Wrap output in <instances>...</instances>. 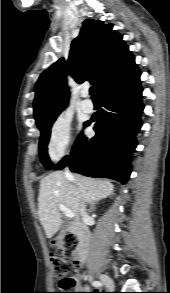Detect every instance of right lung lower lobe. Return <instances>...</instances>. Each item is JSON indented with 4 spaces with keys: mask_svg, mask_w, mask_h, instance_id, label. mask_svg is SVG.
<instances>
[{
    "mask_svg": "<svg viewBox=\"0 0 170 293\" xmlns=\"http://www.w3.org/2000/svg\"><path fill=\"white\" fill-rule=\"evenodd\" d=\"M140 74L136 66L100 88L98 100L104 109L84 124L95 122L96 135L90 139L79 135L70 157L61 160L55 170L70 164L75 173L127 182L131 156L137 145L135 135L142 125L140 114L144 109Z\"/></svg>",
    "mask_w": 170,
    "mask_h": 293,
    "instance_id": "98d812e1",
    "label": "right lung lower lobe"
}]
</instances>
